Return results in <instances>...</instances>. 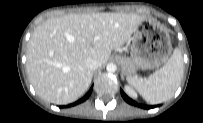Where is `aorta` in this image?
Returning a JSON list of instances; mask_svg holds the SVG:
<instances>
[{
    "label": "aorta",
    "mask_w": 203,
    "mask_h": 123,
    "mask_svg": "<svg viewBox=\"0 0 203 123\" xmlns=\"http://www.w3.org/2000/svg\"><path fill=\"white\" fill-rule=\"evenodd\" d=\"M106 70L108 71V72H115L116 70H117V66L114 64V63H109V64H107V66H106Z\"/></svg>",
    "instance_id": "obj_1"
}]
</instances>
